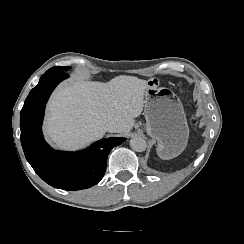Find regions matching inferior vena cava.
I'll return each mask as SVG.
<instances>
[{"label": "inferior vena cava", "mask_w": 244, "mask_h": 244, "mask_svg": "<svg viewBox=\"0 0 244 244\" xmlns=\"http://www.w3.org/2000/svg\"><path fill=\"white\" fill-rule=\"evenodd\" d=\"M103 126L109 132H117L120 128L119 124L114 121H104Z\"/></svg>", "instance_id": "602c4592"}]
</instances>
